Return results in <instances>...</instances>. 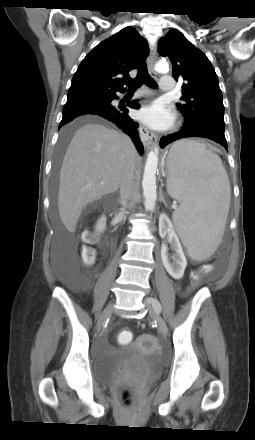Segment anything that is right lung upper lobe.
<instances>
[{
    "label": "right lung upper lobe",
    "mask_w": 255,
    "mask_h": 440,
    "mask_svg": "<svg viewBox=\"0 0 255 440\" xmlns=\"http://www.w3.org/2000/svg\"><path fill=\"white\" fill-rule=\"evenodd\" d=\"M148 53L146 40L134 28H123L86 55L74 74L67 99L124 90L129 71L136 69Z\"/></svg>",
    "instance_id": "right-lung-upper-lobe-1"
}]
</instances>
